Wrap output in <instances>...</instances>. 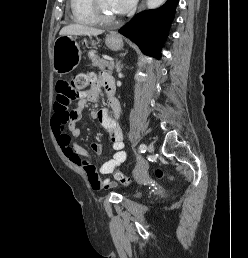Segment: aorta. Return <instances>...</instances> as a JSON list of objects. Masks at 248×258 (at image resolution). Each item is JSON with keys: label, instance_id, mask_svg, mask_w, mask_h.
<instances>
[{"label": "aorta", "instance_id": "762f6f07", "mask_svg": "<svg viewBox=\"0 0 248 258\" xmlns=\"http://www.w3.org/2000/svg\"><path fill=\"white\" fill-rule=\"evenodd\" d=\"M165 2V0H147V8L148 9H155L162 5Z\"/></svg>", "mask_w": 248, "mask_h": 258}]
</instances>
